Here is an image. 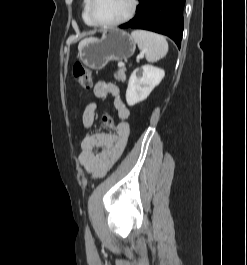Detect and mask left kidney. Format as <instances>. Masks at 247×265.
Masks as SVG:
<instances>
[{
    "label": "left kidney",
    "instance_id": "obj_1",
    "mask_svg": "<svg viewBox=\"0 0 247 265\" xmlns=\"http://www.w3.org/2000/svg\"><path fill=\"white\" fill-rule=\"evenodd\" d=\"M165 72L163 69L152 65H144L133 71L130 76L126 91V101L133 106L145 100L152 90L159 85Z\"/></svg>",
    "mask_w": 247,
    "mask_h": 265
}]
</instances>
